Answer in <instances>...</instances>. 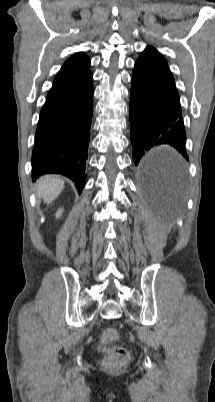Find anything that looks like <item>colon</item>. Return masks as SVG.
Listing matches in <instances>:
<instances>
[{
	"instance_id": "1",
	"label": "colon",
	"mask_w": 215,
	"mask_h": 402,
	"mask_svg": "<svg viewBox=\"0 0 215 402\" xmlns=\"http://www.w3.org/2000/svg\"><path fill=\"white\" fill-rule=\"evenodd\" d=\"M119 338V332L116 328H106L101 337L103 347L107 352L104 365L108 368H119L127 364L129 361V352L120 346H113Z\"/></svg>"
}]
</instances>
